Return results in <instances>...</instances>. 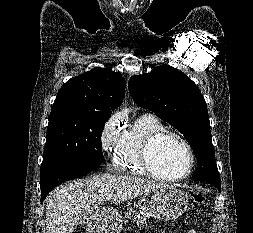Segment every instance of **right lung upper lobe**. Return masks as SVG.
Returning <instances> with one entry per match:
<instances>
[{
  "label": "right lung upper lobe",
  "mask_w": 253,
  "mask_h": 233,
  "mask_svg": "<svg viewBox=\"0 0 253 233\" xmlns=\"http://www.w3.org/2000/svg\"><path fill=\"white\" fill-rule=\"evenodd\" d=\"M125 81L119 72L95 68L68 80L58 92L52 108H74L108 113L121 105Z\"/></svg>",
  "instance_id": "1"
}]
</instances>
